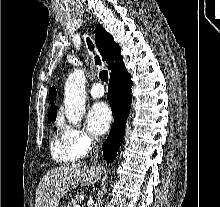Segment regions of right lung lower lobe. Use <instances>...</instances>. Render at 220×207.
<instances>
[{"instance_id": "1", "label": "right lung lower lobe", "mask_w": 220, "mask_h": 207, "mask_svg": "<svg viewBox=\"0 0 220 207\" xmlns=\"http://www.w3.org/2000/svg\"><path fill=\"white\" fill-rule=\"evenodd\" d=\"M131 76L127 72L123 57L119 60L110 75L108 100L112 109L114 122L110 134L103 144V156L107 162H113L123 141L125 122L131 106Z\"/></svg>"}]
</instances>
